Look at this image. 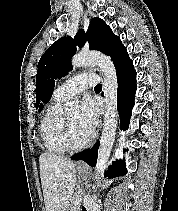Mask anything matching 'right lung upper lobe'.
Instances as JSON below:
<instances>
[{"mask_svg":"<svg viewBox=\"0 0 178 211\" xmlns=\"http://www.w3.org/2000/svg\"><path fill=\"white\" fill-rule=\"evenodd\" d=\"M54 85L49 82L44 88L41 96V100L43 103H47L50 100L51 93L53 92ZM43 108V104H40L39 111Z\"/></svg>","mask_w":178,"mask_h":211,"instance_id":"1","label":"right lung upper lobe"}]
</instances>
